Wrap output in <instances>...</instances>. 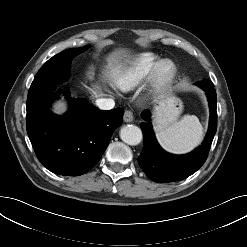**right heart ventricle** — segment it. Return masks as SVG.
<instances>
[{
    "label": "right heart ventricle",
    "instance_id": "1",
    "mask_svg": "<svg viewBox=\"0 0 247 247\" xmlns=\"http://www.w3.org/2000/svg\"><path fill=\"white\" fill-rule=\"evenodd\" d=\"M158 62L159 57L153 53L136 55L116 74L115 85L124 91L134 88L150 74Z\"/></svg>",
    "mask_w": 247,
    "mask_h": 247
}]
</instances>
